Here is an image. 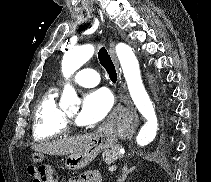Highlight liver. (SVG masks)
Wrapping results in <instances>:
<instances>
[{"mask_svg": "<svg viewBox=\"0 0 211 182\" xmlns=\"http://www.w3.org/2000/svg\"><path fill=\"white\" fill-rule=\"evenodd\" d=\"M93 134H85L68 139H60L54 141H46L38 145H34L32 148L39 152L50 155H68L75 153L85 147L91 140Z\"/></svg>", "mask_w": 211, "mask_h": 182, "instance_id": "obj_1", "label": "liver"}]
</instances>
